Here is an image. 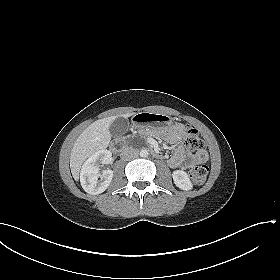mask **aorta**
<instances>
[{
    "label": "aorta",
    "mask_w": 280,
    "mask_h": 280,
    "mask_svg": "<svg viewBox=\"0 0 280 280\" xmlns=\"http://www.w3.org/2000/svg\"><path fill=\"white\" fill-rule=\"evenodd\" d=\"M148 155H149L148 150L142 149V150L140 151V156H141V157L146 158V157H148Z\"/></svg>",
    "instance_id": "obj_1"
}]
</instances>
